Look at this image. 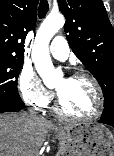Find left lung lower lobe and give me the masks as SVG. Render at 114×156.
<instances>
[{
  "instance_id": "obj_1",
  "label": "left lung lower lobe",
  "mask_w": 114,
  "mask_h": 156,
  "mask_svg": "<svg viewBox=\"0 0 114 156\" xmlns=\"http://www.w3.org/2000/svg\"><path fill=\"white\" fill-rule=\"evenodd\" d=\"M99 122L105 123V124H108V125L114 127V120L102 119V118H101V119L99 120Z\"/></svg>"
}]
</instances>
